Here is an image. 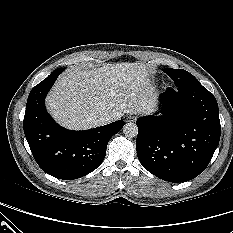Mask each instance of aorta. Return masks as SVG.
<instances>
[{
	"label": "aorta",
	"mask_w": 233,
	"mask_h": 233,
	"mask_svg": "<svg viewBox=\"0 0 233 233\" xmlns=\"http://www.w3.org/2000/svg\"><path fill=\"white\" fill-rule=\"evenodd\" d=\"M123 133L128 138L136 137L138 134V127L135 123L129 122L123 126Z\"/></svg>",
	"instance_id": "obj_1"
}]
</instances>
